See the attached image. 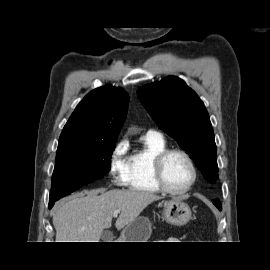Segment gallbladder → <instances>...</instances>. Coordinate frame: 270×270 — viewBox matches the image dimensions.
Segmentation results:
<instances>
[{"label":"gallbladder","mask_w":270,"mask_h":270,"mask_svg":"<svg viewBox=\"0 0 270 270\" xmlns=\"http://www.w3.org/2000/svg\"><path fill=\"white\" fill-rule=\"evenodd\" d=\"M102 239L104 240V242H111L113 239V234L110 231H105L102 234Z\"/></svg>","instance_id":"gallbladder-1"}]
</instances>
